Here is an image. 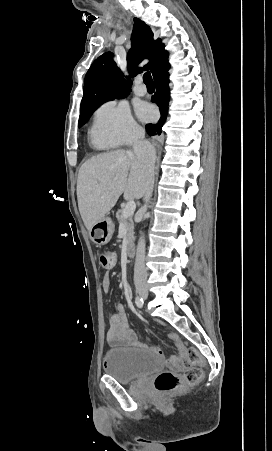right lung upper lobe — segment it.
I'll list each match as a JSON object with an SVG mask.
<instances>
[{
    "instance_id": "1",
    "label": "right lung upper lobe",
    "mask_w": 272,
    "mask_h": 451,
    "mask_svg": "<svg viewBox=\"0 0 272 451\" xmlns=\"http://www.w3.org/2000/svg\"><path fill=\"white\" fill-rule=\"evenodd\" d=\"M131 41L132 48L127 57L130 76L127 78L140 72L137 65L145 58H149V63L144 69H150L152 74L168 58L161 40H153L150 27L137 18H134ZM112 57L111 52L99 56L86 73L80 111L99 107L109 100L124 98L130 92L132 81L123 78Z\"/></svg>"
}]
</instances>
